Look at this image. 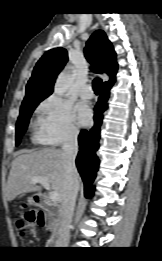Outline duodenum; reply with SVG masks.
Listing matches in <instances>:
<instances>
[{"label": "duodenum", "mask_w": 162, "mask_h": 261, "mask_svg": "<svg viewBox=\"0 0 162 261\" xmlns=\"http://www.w3.org/2000/svg\"><path fill=\"white\" fill-rule=\"evenodd\" d=\"M35 204L42 209L43 211H41L43 213L44 216V223L43 226L41 227H52V228H56V230H60V227L58 224L54 223V219L53 217L56 215L55 213V208H50L47 204V200L46 197L42 194H37L34 198ZM59 241H61L63 238L62 237H58Z\"/></svg>", "instance_id": "1"}]
</instances>
